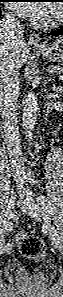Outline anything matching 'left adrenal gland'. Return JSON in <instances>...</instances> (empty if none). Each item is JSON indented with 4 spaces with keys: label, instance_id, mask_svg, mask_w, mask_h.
<instances>
[{
    "label": "left adrenal gland",
    "instance_id": "obj_1",
    "mask_svg": "<svg viewBox=\"0 0 63 297\" xmlns=\"http://www.w3.org/2000/svg\"><path fill=\"white\" fill-rule=\"evenodd\" d=\"M52 89H53V91L58 92L61 90V86H57V85L53 84Z\"/></svg>",
    "mask_w": 63,
    "mask_h": 297
}]
</instances>
